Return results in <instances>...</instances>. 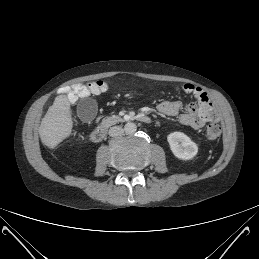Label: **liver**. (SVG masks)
<instances>
[{
    "instance_id": "6515ba94",
    "label": "liver",
    "mask_w": 259,
    "mask_h": 259,
    "mask_svg": "<svg viewBox=\"0 0 259 259\" xmlns=\"http://www.w3.org/2000/svg\"><path fill=\"white\" fill-rule=\"evenodd\" d=\"M72 127L70 102L66 95H59L41 121L39 127L41 142L48 148L54 149L71 134Z\"/></svg>"
}]
</instances>
